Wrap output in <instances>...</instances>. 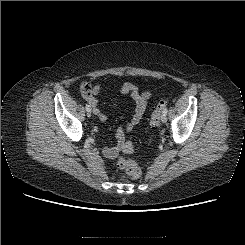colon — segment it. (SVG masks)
Returning <instances> with one entry per match:
<instances>
[{
	"label": "colon",
	"instance_id": "colon-1",
	"mask_svg": "<svg viewBox=\"0 0 245 245\" xmlns=\"http://www.w3.org/2000/svg\"><path fill=\"white\" fill-rule=\"evenodd\" d=\"M80 93L88 97L92 89L90 84L83 82L79 87ZM168 100H161L155 110L152 112L149 123L151 126H156L159 122L160 115L163 109L168 105ZM122 156L118 160V165L121 169L125 170L127 176L132 179H137L141 176V169L133 158L134 147L131 142L123 140L121 143Z\"/></svg>",
	"mask_w": 245,
	"mask_h": 245
}]
</instances>
